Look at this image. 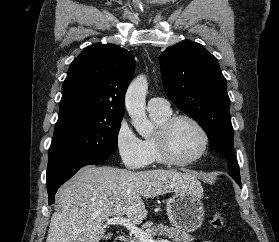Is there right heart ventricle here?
<instances>
[{
    "label": "right heart ventricle",
    "instance_id": "e07e8e85",
    "mask_svg": "<svg viewBox=\"0 0 279 242\" xmlns=\"http://www.w3.org/2000/svg\"><path fill=\"white\" fill-rule=\"evenodd\" d=\"M149 113L151 119L153 120V122L156 124L157 127L163 124L171 116V110L169 111L151 110L149 111ZM144 144L149 153L150 162L164 163V161L162 160L159 154L158 148L156 146L154 136L145 138Z\"/></svg>",
    "mask_w": 279,
    "mask_h": 242
}]
</instances>
